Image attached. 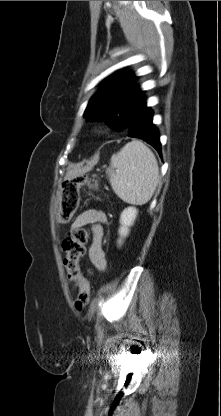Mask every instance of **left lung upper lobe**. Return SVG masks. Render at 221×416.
Wrapping results in <instances>:
<instances>
[{"mask_svg": "<svg viewBox=\"0 0 221 416\" xmlns=\"http://www.w3.org/2000/svg\"><path fill=\"white\" fill-rule=\"evenodd\" d=\"M132 73H113L104 86L90 99L84 117L90 121H106L119 130L128 126L137 109L145 100L143 91L135 85Z\"/></svg>", "mask_w": 221, "mask_h": 416, "instance_id": "5c2ea615", "label": "left lung upper lobe"}]
</instances>
